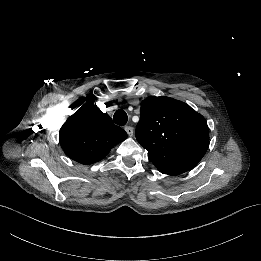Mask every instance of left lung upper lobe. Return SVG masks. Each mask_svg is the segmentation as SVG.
Returning <instances> with one entry per match:
<instances>
[{"mask_svg":"<svg viewBox=\"0 0 261 261\" xmlns=\"http://www.w3.org/2000/svg\"><path fill=\"white\" fill-rule=\"evenodd\" d=\"M135 134L163 174L191 170L209 145L205 118L186 103L166 96H151L142 101Z\"/></svg>","mask_w":261,"mask_h":261,"instance_id":"1","label":"left lung upper lobe"}]
</instances>
